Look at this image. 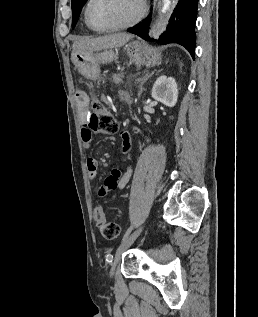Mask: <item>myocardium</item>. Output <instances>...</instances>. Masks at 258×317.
<instances>
[{
	"instance_id": "myocardium-1",
	"label": "myocardium",
	"mask_w": 258,
	"mask_h": 317,
	"mask_svg": "<svg viewBox=\"0 0 258 317\" xmlns=\"http://www.w3.org/2000/svg\"><path fill=\"white\" fill-rule=\"evenodd\" d=\"M95 1L96 0H89L88 4L86 6V9H85V21L91 29L98 31V32H113V31L133 29L142 20V18L144 17V14H145L144 3L141 0H134L138 5L139 10H138V14L136 15V17L130 23H128L126 25H120V26L99 28L93 24V22L90 20V17H89L90 7Z\"/></svg>"
}]
</instances>
